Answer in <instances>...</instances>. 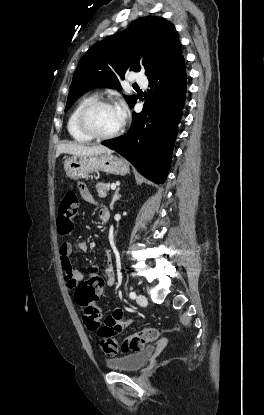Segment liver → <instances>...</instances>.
Returning <instances> with one entry per match:
<instances>
[{"mask_svg":"<svg viewBox=\"0 0 264 415\" xmlns=\"http://www.w3.org/2000/svg\"><path fill=\"white\" fill-rule=\"evenodd\" d=\"M62 153L71 154L75 156H83V155L112 153V150L103 145L86 146V145L77 144V143H62L57 146L56 157H58Z\"/></svg>","mask_w":264,"mask_h":415,"instance_id":"6515ba94","label":"liver"}]
</instances>
